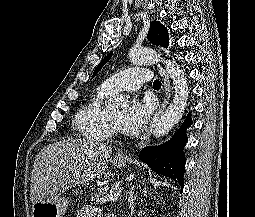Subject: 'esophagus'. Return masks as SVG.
<instances>
[{
  "label": "esophagus",
  "instance_id": "34e87169",
  "mask_svg": "<svg viewBox=\"0 0 255 217\" xmlns=\"http://www.w3.org/2000/svg\"><path fill=\"white\" fill-rule=\"evenodd\" d=\"M157 69H158L159 75L161 76V78L163 80V86H164L165 93H164V97L162 99V103H161L158 111L155 113L150 125L148 126V128L146 129V131L140 138L138 145L136 146L138 149L143 148L148 143L151 133H152L153 124H154V122H156L159 119V117L165 110V108L169 102L170 95H171L170 81H169V77H168L166 71L163 69V67L160 64H157Z\"/></svg>",
  "mask_w": 255,
  "mask_h": 217
}]
</instances>
